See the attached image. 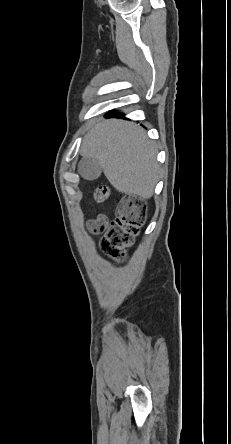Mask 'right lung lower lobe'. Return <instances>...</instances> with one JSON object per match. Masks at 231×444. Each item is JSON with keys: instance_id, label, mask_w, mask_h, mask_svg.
Returning <instances> with one entry per match:
<instances>
[{"instance_id": "98d812e1", "label": "right lung lower lobe", "mask_w": 231, "mask_h": 444, "mask_svg": "<svg viewBox=\"0 0 231 444\" xmlns=\"http://www.w3.org/2000/svg\"><path fill=\"white\" fill-rule=\"evenodd\" d=\"M107 117H120L121 115H119V114H113V112H111V113H108L107 115H106Z\"/></svg>"}]
</instances>
